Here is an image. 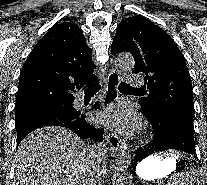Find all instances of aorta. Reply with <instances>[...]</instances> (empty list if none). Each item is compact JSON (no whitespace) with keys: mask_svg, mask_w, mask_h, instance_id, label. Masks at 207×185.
<instances>
[{"mask_svg":"<svg viewBox=\"0 0 207 185\" xmlns=\"http://www.w3.org/2000/svg\"><path fill=\"white\" fill-rule=\"evenodd\" d=\"M134 58L130 54H120L115 60V66L120 75H125L134 68ZM131 164V151L127 144H123L116 154L112 176V185L129 184V167Z\"/></svg>","mask_w":207,"mask_h":185,"instance_id":"1","label":"aorta"}]
</instances>
